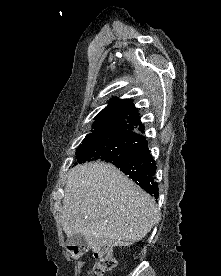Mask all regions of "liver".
I'll return each mask as SVG.
<instances>
[{
  "label": "liver",
  "instance_id": "6515ba94",
  "mask_svg": "<svg viewBox=\"0 0 221 276\" xmlns=\"http://www.w3.org/2000/svg\"><path fill=\"white\" fill-rule=\"evenodd\" d=\"M61 219L68 237L82 234L98 250L143 239L157 220V206L112 164L85 163L68 173Z\"/></svg>",
  "mask_w": 221,
  "mask_h": 276
}]
</instances>
